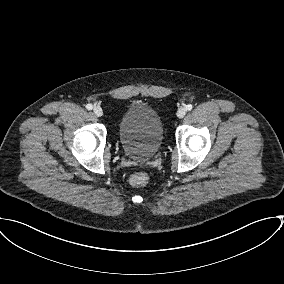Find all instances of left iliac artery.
Instances as JSON below:
<instances>
[{
	"label": "left iliac artery",
	"instance_id": "obj_1",
	"mask_svg": "<svg viewBox=\"0 0 284 284\" xmlns=\"http://www.w3.org/2000/svg\"><path fill=\"white\" fill-rule=\"evenodd\" d=\"M192 108H193V105H192V104H188V105L186 106V110H188V111L192 110Z\"/></svg>",
	"mask_w": 284,
	"mask_h": 284
}]
</instances>
